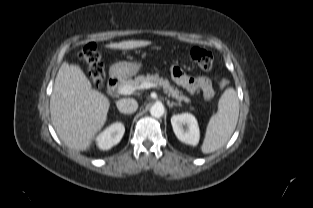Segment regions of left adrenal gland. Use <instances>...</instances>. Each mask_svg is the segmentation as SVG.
<instances>
[{
	"label": "left adrenal gland",
	"mask_w": 313,
	"mask_h": 208,
	"mask_svg": "<svg viewBox=\"0 0 313 208\" xmlns=\"http://www.w3.org/2000/svg\"><path fill=\"white\" fill-rule=\"evenodd\" d=\"M167 105L169 108H172L173 106H181L180 103L170 102L169 100H167Z\"/></svg>",
	"instance_id": "obj_1"
}]
</instances>
